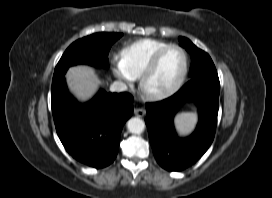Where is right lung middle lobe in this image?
Masks as SVG:
<instances>
[{"label": "right lung middle lobe", "instance_id": "dd1d6c3e", "mask_svg": "<svg viewBox=\"0 0 272 198\" xmlns=\"http://www.w3.org/2000/svg\"><path fill=\"white\" fill-rule=\"evenodd\" d=\"M122 33H95L72 43L58 62L53 80L63 77L67 69L76 64L108 67V53Z\"/></svg>", "mask_w": 272, "mask_h": 198}]
</instances>
